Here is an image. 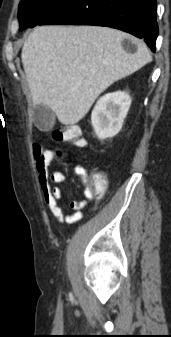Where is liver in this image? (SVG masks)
Wrapping results in <instances>:
<instances>
[{
    "label": "liver",
    "mask_w": 171,
    "mask_h": 337,
    "mask_svg": "<svg viewBox=\"0 0 171 337\" xmlns=\"http://www.w3.org/2000/svg\"><path fill=\"white\" fill-rule=\"evenodd\" d=\"M21 58L33 103L74 125L105 89L151 62L152 55L142 40L116 29L40 26L25 41Z\"/></svg>",
    "instance_id": "liver-1"
}]
</instances>
